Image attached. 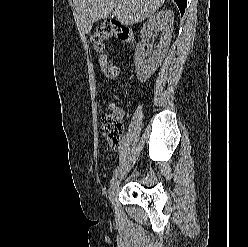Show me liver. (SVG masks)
I'll use <instances>...</instances> for the list:
<instances>
[{
  "label": "liver",
  "instance_id": "6515ba94",
  "mask_svg": "<svg viewBox=\"0 0 248 247\" xmlns=\"http://www.w3.org/2000/svg\"><path fill=\"white\" fill-rule=\"evenodd\" d=\"M165 0H74L84 31L89 33L93 23L111 13L123 25H132L151 16Z\"/></svg>",
  "mask_w": 248,
  "mask_h": 247
}]
</instances>
